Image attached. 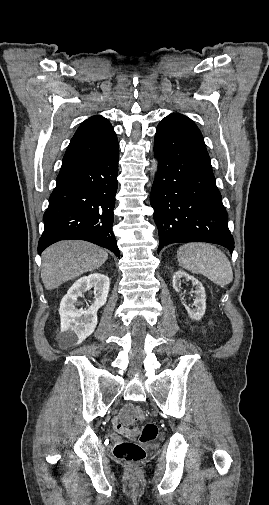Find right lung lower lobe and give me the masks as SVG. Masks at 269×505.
I'll return each instance as SVG.
<instances>
[{"mask_svg":"<svg viewBox=\"0 0 269 505\" xmlns=\"http://www.w3.org/2000/svg\"><path fill=\"white\" fill-rule=\"evenodd\" d=\"M118 142L104 152L64 165L44 213L38 253L68 239L86 240L120 256L112 232L117 192Z\"/></svg>","mask_w":269,"mask_h":505,"instance_id":"1","label":"right lung lower lobe"}]
</instances>
